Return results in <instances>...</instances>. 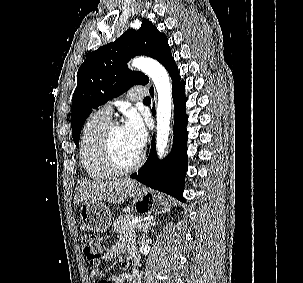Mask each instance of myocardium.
Returning a JSON list of instances; mask_svg holds the SVG:
<instances>
[{
	"mask_svg": "<svg viewBox=\"0 0 303 283\" xmlns=\"http://www.w3.org/2000/svg\"><path fill=\"white\" fill-rule=\"evenodd\" d=\"M121 126L120 123L116 121H110L99 141V146H98V153H99V158L104 166V168L109 171L112 175H125L128 174L134 170H136L142 163L143 161V154L139 153L137 156L136 160L128 165V166H122L118 163L115 154H114V149H113V143H112V134L113 131L116 127Z\"/></svg>",
	"mask_w": 303,
	"mask_h": 283,
	"instance_id": "myocardium-1",
	"label": "myocardium"
}]
</instances>
